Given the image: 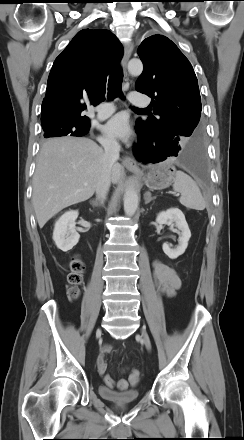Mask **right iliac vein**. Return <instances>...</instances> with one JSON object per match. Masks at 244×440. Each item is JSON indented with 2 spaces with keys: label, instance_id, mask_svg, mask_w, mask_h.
Segmentation results:
<instances>
[{
  "label": "right iliac vein",
  "instance_id": "obj_1",
  "mask_svg": "<svg viewBox=\"0 0 244 440\" xmlns=\"http://www.w3.org/2000/svg\"><path fill=\"white\" fill-rule=\"evenodd\" d=\"M96 335H97V336H100V335H101V329H98V330L96 331Z\"/></svg>",
  "mask_w": 244,
  "mask_h": 440
}]
</instances>
